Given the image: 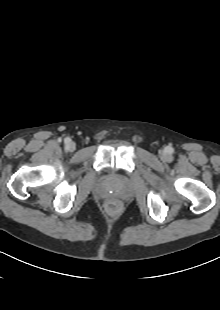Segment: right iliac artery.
I'll return each instance as SVG.
<instances>
[{
    "mask_svg": "<svg viewBox=\"0 0 220 310\" xmlns=\"http://www.w3.org/2000/svg\"><path fill=\"white\" fill-rule=\"evenodd\" d=\"M71 140L69 138L65 139V143H69Z\"/></svg>",
    "mask_w": 220,
    "mask_h": 310,
    "instance_id": "82829eb1",
    "label": "right iliac artery"
}]
</instances>
